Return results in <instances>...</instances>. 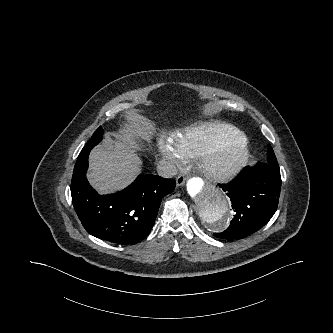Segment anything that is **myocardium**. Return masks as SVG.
I'll return each mask as SVG.
<instances>
[{
  "instance_id": "myocardium-1",
  "label": "myocardium",
  "mask_w": 333,
  "mask_h": 333,
  "mask_svg": "<svg viewBox=\"0 0 333 333\" xmlns=\"http://www.w3.org/2000/svg\"><path fill=\"white\" fill-rule=\"evenodd\" d=\"M227 160L222 161L221 157ZM251 150L247 139L228 138L213 143L199 157L205 174L215 181H228L248 163Z\"/></svg>"
}]
</instances>
